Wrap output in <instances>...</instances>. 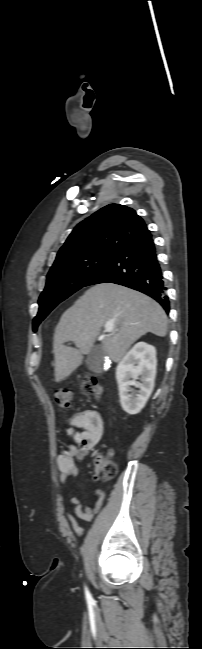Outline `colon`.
Instances as JSON below:
<instances>
[{"label": "colon", "instance_id": "colon-1", "mask_svg": "<svg viewBox=\"0 0 202 649\" xmlns=\"http://www.w3.org/2000/svg\"><path fill=\"white\" fill-rule=\"evenodd\" d=\"M99 386L98 379L95 377L86 378L82 382V389L87 393H92L96 387ZM54 398L58 406L64 409L71 408L72 396L71 391L68 389H56ZM94 464L99 468L105 479H111L115 476L117 467L116 464L103 454H97L94 458Z\"/></svg>", "mask_w": 202, "mask_h": 649}]
</instances>
